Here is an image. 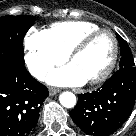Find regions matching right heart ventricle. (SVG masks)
I'll list each match as a JSON object with an SVG mask.
<instances>
[{"mask_svg":"<svg viewBox=\"0 0 136 136\" xmlns=\"http://www.w3.org/2000/svg\"><path fill=\"white\" fill-rule=\"evenodd\" d=\"M100 27L86 21L58 22L44 30L53 45L64 55H68L76 43L90 32L99 30Z\"/></svg>","mask_w":136,"mask_h":136,"instance_id":"1","label":"right heart ventricle"}]
</instances>
